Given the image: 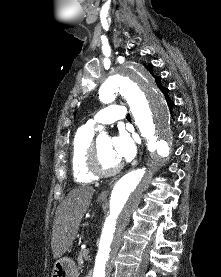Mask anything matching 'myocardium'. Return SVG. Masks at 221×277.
Segmentation results:
<instances>
[{
    "label": "myocardium",
    "mask_w": 221,
    "mask_h": 277,
    "mask_svg": "<svg viewBox=\"0 0 221 277\" xmlns=\"http://www.w3.org/2000/svg\"><path fill=\"white\" fill-rule=\"evenodd\" d=\"M122 167L123 164L119 163L115 168L111 170L102 169L99 162L98 140L96 139L92 141L87 156V168L93 176L100 178L111 177L118 174L121 171Z\"/></svg>",
    "instance_id": "obj_1"
}]
</instances>
